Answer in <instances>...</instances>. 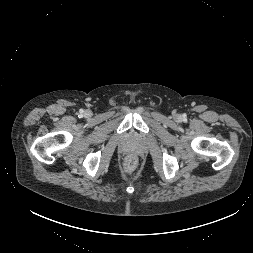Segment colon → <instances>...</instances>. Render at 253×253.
Instances as JSON below:
<instances>
[{
    "instance_id": "5ec220e1",
    "label": "colon",
    "mask_w": 253,
    "mask_h": 253,
    "mask_svg": "<svg viewBox=\"0 0 253 253\" xmlns=\"http://www.w3.org/2000/svg\"><path fill=\"white\" fill-rule=\"evenodd\" d=\"M136 165L135 159L133 157H129L125 162V170L131 172L134 170Z\"/></svg>"
}]
</instances>
